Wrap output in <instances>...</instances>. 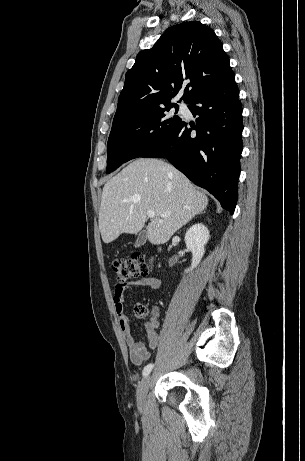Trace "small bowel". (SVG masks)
<instances>
[{
	"label": "small bowel",
	"instance_id": "1",
	"mask_svg": "<svg viewBox=\"0 0 305 461\" xmlns=\"http://www.w3.org/2000/svg\"><path fill=\"white\" fill-rule=\"evenodd\" d=\"M159 286L160 280L158 278L143 277L126 284H117L114 287L113 303L118 317V324L129 348L130 360L136 366H141L145 361L149 360L151 357L149 349L155 350L158 346L159 309L157 307L153 308L151 316L145 321L146 339L138 341L135 339L130 322L124 313L125 293L133 288L158 289Z\"/></svg>",
	"mask_w": 305,
	"mask_h": 461
}]
</instances>
